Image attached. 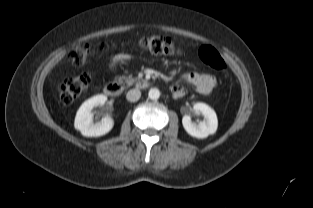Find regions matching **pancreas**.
I'll return each mask as SVG.
<instances>
[{
    "instance_id": "cf45deb5",
    "label": "pancreas",
    "mask_w": 313,
    "mask_h": 208,
    "mask_svg": "<svg viewBox=\"0 0 313 208\" xmlns=\"http://www.w3.org/2000/svg\"><path fill=\"white\" fill-rule=\"evenodd\" d=\"M138 80H139L138 78H132L131 75H130V76H120V77L118 78V81H119L120 83L125 82V83H127L128 85H132L133 83L137 82Z\"/></svg>"
}]
</instances>
